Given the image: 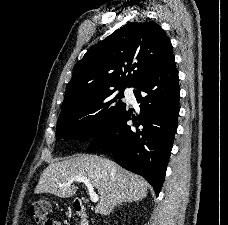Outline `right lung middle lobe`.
Returning <instances> with one entry per match:
<instances>
[{
	"label": "right lung middle lobe",
	"mask_w": 228,
	"mask_h": 225,
	"mask_svg": "<svg viewBox=\"0 0 228 225\" xmlns=\"http://www.w3.org/2000/svg\"><path fill=\"white\" fill-rule=\"evenodd\" d=\"M124 89L112 88L62 106L56 127L57 139L91 140L125 109Z\"/></svg>",
	"instance_id": "1"
}]
</instances>
